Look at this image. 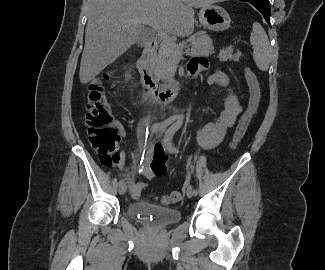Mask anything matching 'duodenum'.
<instances>
[{
	"instance_id": "1",
	"label": "duodenum",
	"mask_w": 325,
	"mask_h": 270,
	"mask_svg": "<svg viewBox=\"0 0 325 270\" xmlns=\"http://www.w3.org/2000/svg\"><path fill=\"white\" fill-rule=\"evenodd\" d=\"M158 45L159 42L157 39L146 44L142 55L137 62V68L141 75L145 92L157 102L166 104L177 97L180 91L181 82L175 80L162 86L157 83L154 75L153 63L156 57Z\"/></svg>"
}]
</instances>
